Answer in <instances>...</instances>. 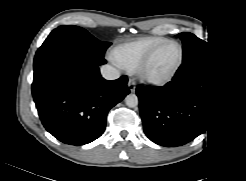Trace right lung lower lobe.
I'll use <instances>...</instances> for the list:
<instances>
[{
  "instance_id": "obj_1",
  "label": "right lung lower lobe",
  "mask_w": 246,
  "mask_h": 181,
  "mask_svg": "<svg viewBox=\"0 0 246 181\" xmlns=\"http://www.w3.org/2000/svg\"><path fill=\"white\" fill-rule=\"evenodd\" d=\"M102 64L66 45L34 59L32 94L38 114L61 142L83 145L100 137L108 111L130 92L126 76L102 78Z\"/></svg>"
}]
</instances>
